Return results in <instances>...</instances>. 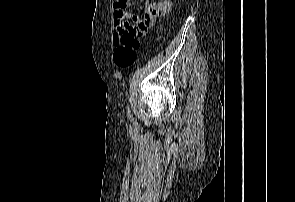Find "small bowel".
Here are the masks:
<instances>
[{"mask_svg": "<svg viewBox=\"0 0 295 202\" xmlns=\"http://www.w3.org/2000/svg\"><path fill=\"white\" fill-rule=\"evenodd\" d=\"M131 0H115L113 12V41L118 43L122 32L131 25L137 26L143 31L145 28L151 27L158 15L168 14L173 7L171 0H159L152 2L151 0H139V5L143 11V19L136 13L130 11L132 7Z\"/></svg>", "mask_w": 295, "mask_h": 202, "instance_id": "obj_1", "label": "small bowel"}]
</instances>
